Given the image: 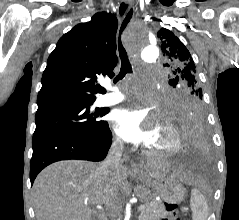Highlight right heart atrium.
Masks as SVG:
<instances>
[{"instance_id":"obj_1","label":"right heart atrium","mask_w":239,"mask_h":220,"mask_svg":"<svg viewBox=\"0 0 239 220\" xmlns=\"http://www.w3.org/2000/svg\"><path fill=\"white\" fill-rule=\"evenodd\" d=\"M113 144H114L116 147H120V146H121L120 139H119L118 137H114V138H113Z\"/></svg>"}]
</instances>
